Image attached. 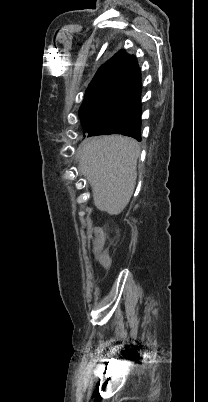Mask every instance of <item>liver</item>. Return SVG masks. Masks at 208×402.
<instances>
[{
	"label": "liver",
	"instance_id": "liver-1",
	"mask_svg": "<svg viewBox=\"0 0 208 402\" xmlns=\"http://www.w3.org/2000/svg\"><path fill=\"white\" fill-rule=\"evenodd\" d=\"M79 170L86 176L97 210L121 214L134 192L140 148L124 136L86 138L78 148Z\"/></svg>",
	"mask_w": 208,
	"mask_h": 402
}]
</instances>
